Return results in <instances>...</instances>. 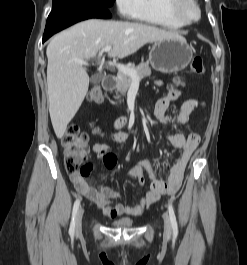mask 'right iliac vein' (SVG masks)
Listing matches in <instances>:
<instances>
[{
	"label": "right iliac vein",
	"instance_id": "obj_1",
	"mask_svg": "<svg viewBox=\"0 0 247 265\" xmlns=\"http://www.w3.org/2000/svg\"><path fill=\"white\" fill-rule=\"evenodd\" d=\"M83 208H80L76 215V234H80L82 227Z\"/></svg>",
	"mask_w": 247,
	"mask_h": 265
}]
</instances>
